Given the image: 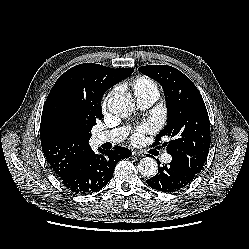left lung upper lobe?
Segmentation results:
<instances>
[{"instance_id": "left-lung-upper-lobe-1", "label": "left lung upper lobe", "mask_w": 249, "mask_h": 249, "mask_svg": "<svg viewBox=\"0 0 249 249\" xmlns=\"http://www.w3.org/2000/svg\"><path fill=\"white\" fill-rule=\"evenodd\" d=\"M138 70L162 85L167 104V125L153 146L166 148L173 160L200 173L211 139L209 116L199 90L186 75L168 65H147ZM163 136L171 140L160 146Z\"/></svg>"}]
</instances>
